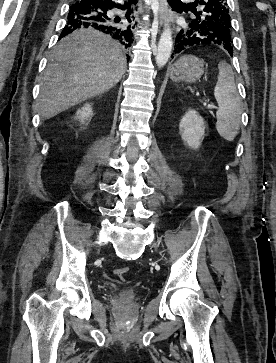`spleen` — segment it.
<instances>
[{"label": "spleen", "instance_id": "3e777b00", "mask_svg": "<svg viewBox=\"0 0 276 363\" xmlns=\"http://www.w3.org/2000/svg\"><path fill=\"white\" fill-rule=\"evenodd\" d=\"M218 70L219 74L214 87V96L219 106L216 112V130L222 138L231 142L240 128L241 99L231 66L226 61H220Z\"/></svg>", "mask_w": 276, "mask_h": 363}]
</instances>
